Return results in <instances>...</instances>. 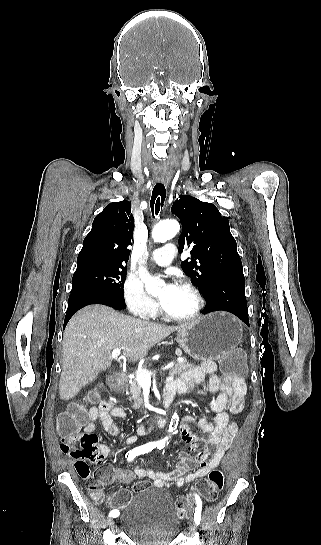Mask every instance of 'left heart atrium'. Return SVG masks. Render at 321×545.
I'll use <instances>...</instances> for the list:
<instances>
[{
    "mask_svg": "<svg viewBox=\"0 0 321 545\" xmlns=\"http://www.w3.org/2000/svg\"><path fill=\"white\" fill-rule=\"evenodd\" d=\"M177 288H178L177 284L171 283V282L167 283L164 297L161 302V305L163 307L168 302V300L173 296Z\"/></svg>",
    "mask_w": 321,
    "mask_h": 545,
    "instance_id": "1",
    "label": "left heart atrium"
}]
</instances>
